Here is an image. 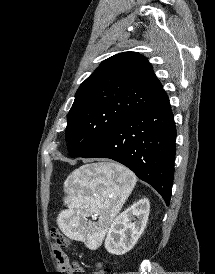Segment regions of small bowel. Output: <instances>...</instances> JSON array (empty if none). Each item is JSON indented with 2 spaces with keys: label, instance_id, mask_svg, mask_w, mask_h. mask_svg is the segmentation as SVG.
<instances>
[{
  "label": "small bowel",
  "instance_id": "1",
  "mask_svg": "<svg viewBox=\"0 0 215 274\" xmlns=\"http://www.w3.org/2000/svg\"><path fill=\"white\" fill-rule=\"evenodd\" d=\"M55 255L58 261L60 268L68 272L69 274L75 272H82V268L79 266L78 263H72L69 257L61 250L60 246H57L55 249ZM98 274V273H95Z\"/></svg>",
  "mask_w": 215,
  "mask_h": 274
}]
</instances>
